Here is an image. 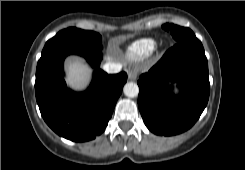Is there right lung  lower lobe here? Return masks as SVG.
<instances>
[{"mask_svg": "<svg viewBox=\"0 0 245 170\" xmlns=\"http://www.w3.org/2000/svg\"><path fill=\"white\" fill-rule=\"evenodd\" d=\"M70 54L83 56L96 68L85 92L71 91L63 79V61ZM101 59L100 49L70 48L38 63L36 100L43 119L58 135L74 142H85L100 135L108 125L127 74L108 75L98 69Z\"/></svg>", "mask_w": 245, "mask_h": 170, "instance_id": "1", "label": "right lung lower lobe"}]
</instances>
